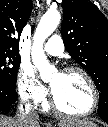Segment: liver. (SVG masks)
I'll return each mask as SVG.
<instances>
[{"label":"liver","instance_id":"liver-1","mask_svg":"<svg viewBox=\"0 0 108 127\" xmlns=\"http://www.w3.org/2000/svg\"><path fill=\"white\" fill-rule=\"evenodd\" d=\"M59 127H68V126H94L93 122L88 120H79V119H70V120H61L58 123ZM0 127H40L37 121L29 120L28 123L22 120L20 117H8L0 115Z\"/></svg>","mask_w":108,"mask_h":127}]
</instances>
